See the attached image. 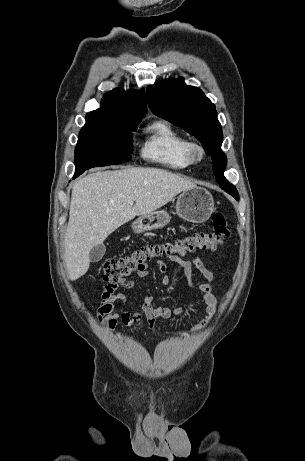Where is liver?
<instances>
[{"label": "liver", "instance_id": "obj_1", "mask_svg": "<svg viewBox=\"0 0 305 461\" xmlns=\"http://www.w3.org/2000/svg\"><path fill=\"white\" fill-rule=\"evenodd\" d=\"M195 187V183L157 168L96 172L75 182L64 239L69 279L74 281L87 272L91 249L114 230Z\"/></svg>", "mask_w": 305, "mask_h": 461}]
</instances>
